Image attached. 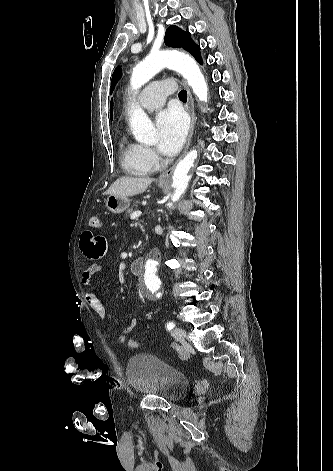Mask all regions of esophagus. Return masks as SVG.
Instances as JSON below:
<instances>
[{
    "label": "esophagus",
    "instance_id": "1",
    "mask_svg": "<svg viewBox=\"0 0 333 471\" xmlns=\"http://www.w3.org/2000/svg\"><path fill=\"white\" fill-rule=\"evenodd\" d=\"M183 85L187 91V96H188V100H187V111L189 112L190 114V118H191V123H190V129H189V134H188V138H187V142H186V145H185V149L183 151V154L181 155V157L184 155V153L187 151V149L189 148V145L191 143V139H192V135H193V132H194V125H195V113H194V102H193V97H192V94L190 92V89L188 88L187 84L185 82H183ZM180 157V158H181ZM176 166V163L170 167L168 170H166L165 172H163L159 178H158V181L160 183H165V182H168L170 180V177L174 171V168Z\"/></svg>",
    "mask_w": 333,
    "mask_h": 471
}]
</instances>
